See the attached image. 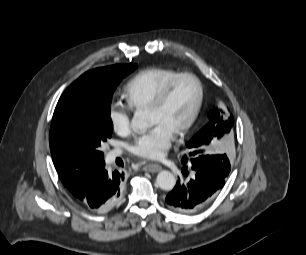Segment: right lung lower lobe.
Masks as SVG:
<instances>
[{
  "label": "right lung lower lobe",
  "mask_w": 306,
  "mask_h": 255,
  "mask_svg": "<svg viewBox=\"0 0 306 255\" xmlns=\"http://www.w3.org/2000/svg\"><path fill=\"white\" fill-rule=\"evenodd\" d=\"M124 174L108 173L105 163L87 170L70 190L75 201L95 213H106L114 208L123 192Z\"/></svg>",
  "instance_id": "98d812e1"
}]
</instances>
